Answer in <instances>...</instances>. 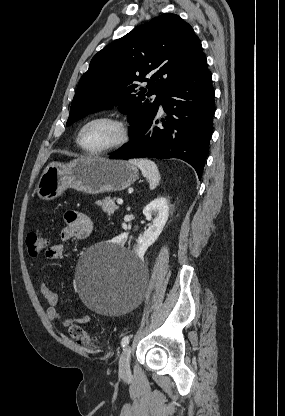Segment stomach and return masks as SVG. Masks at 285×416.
I'll list each match as a JSON object with an SVG mask.
<instances>
[{"label": "stomach", "mask_w": 285, "mask_h": 416, "mask_svg": "<svg viewBox=\"0 0 285 416\" xmlns=\"http://www.w3.org/2000/svg\"><path fill=\"white\" fill-rule=\"evenodd\" d=\"M138 176L137 168L125 160L90 156L72 160L69 164L51 162L36 186V194L41 200H55L67 188L84 194L120 192L129 188Z\"/></svg>", "instance_id": "obj_1"}]
</instances>
